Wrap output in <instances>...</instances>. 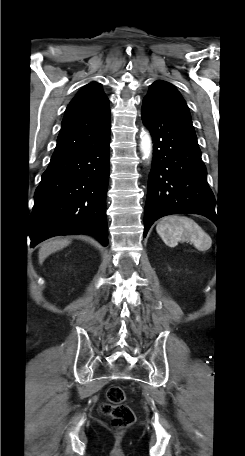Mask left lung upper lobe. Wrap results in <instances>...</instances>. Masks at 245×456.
<instances>
[{
	"label": "left lung upper lobe",
	"mask_w": 245,
	"mask_h": 456,
	"mask_svg": "<svg viewBox=\"0 0 245 456\" xmlns=\"http://www.w3.org/2000/svg\"><path fill=\"white\" fill-rule=\"evenodd\" d=\"M144 99L160 108L183 114L190 118L188 106L177 89L166 81L154 82Z\"/></svg>",
	"instance_id": "obj_1"
}]
</instances>
